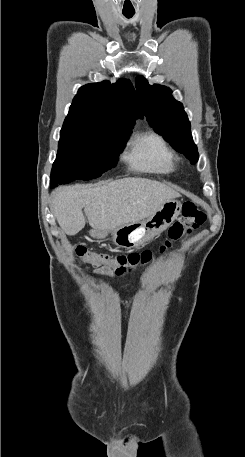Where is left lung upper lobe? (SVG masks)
<instances>
[{
	"instance_id": "5c2ea615",
	"label": "left lung upper lobe",
	"mask_w": 245,
	"mask_h": 457,
	"mask_svg": "<svg viewBox=\"0 0 245 457\" xmlns=\"http://www.w3.org/2000/svg\"><path fill=\"white\" fill-rule=\"evenodd\" d=\"M139 102L148 122L178 152L192 164L198 161L197 147L190 132V122L183 105L173 99L167 87L149 85L143 76L136 77Z\"/></svg>"
}]
</instances>
